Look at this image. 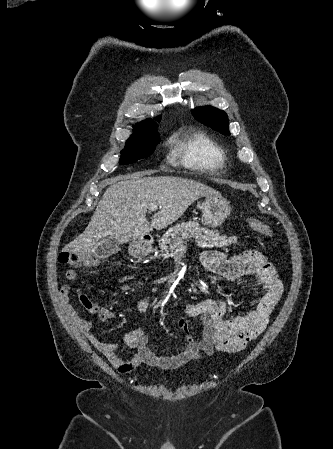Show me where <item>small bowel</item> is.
<instances>
[{
    "mask_svg": "<svg viewBox=\"0 0 333 449\" xmlns=\"http://www.w3.org/2000/svg\"><path fill=\"white\" fill-rule=\"evenodd\" d=\"M204 269L222 278L234 282L241 278L254 279L261 287V296L252 312L234 319H224L226 305L219 300H202L189 303L184 312L188 317H201L204 322L203 334L195 340L190 331L186 318L177 319L175 324L186 334V348L170 356H159L150 347L149 338L143 327H138L125 336V343L135 348L136 353L130 358H123L118 354V345L104 342L92 331L90 321L82 318L70 303V292L73 290L80 304L89 312L98 313L102 320L114 317L112 310L100 308L78 287L69 284L59 290V301L70 318L82 334L97 348L120 373H128L145 364L160 369H173L183 364L209 356L215 350L238 352L256 339L267 327L273 309L283 294V285L274 266L261 253L247 250L231 259L219 251H205L200 257ZM70 283L77 281L76 270L69 269L65 273ZM150 305V298L144 297L138 303V310L146 314Z\"/></svg>",
    "mask_w": 333,
    "mask_h": 449,
    "instance_id": "obj_1",
    "label": "small bowel"
}]
</instances>
